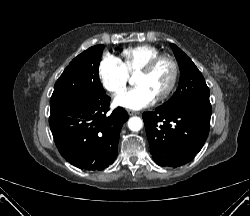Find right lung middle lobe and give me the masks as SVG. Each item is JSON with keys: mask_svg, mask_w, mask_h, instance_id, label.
I'll use <instances>...</instances> for the list:
<instances>
[{"mask_svg": "<svg viewBox=\"0 0 250 216\" xmlns=\"http://www.w3.org/2000/svg\"><path fill=\"white\" fill-rule=\"evenodd\" d=\"M103 49L104 45L90 47L70 62L55 83L50 99L51 111L71 101L98 99L106 95L98 75Z\"/></svg>", "mask_w": 250, "mask_h": 216, "instance_id": "right-lung-middle-lobe-1", "label": "right lung middle lobe"}]
</instances>
